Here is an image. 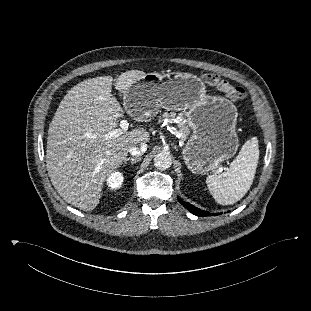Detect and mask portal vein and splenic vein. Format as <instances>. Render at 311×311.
<instances>
[{
  "mask_svg": "<svg viewBox=\"0 0 311 311\" xmlns=\"http://www.w3.org/2000/svg\"><path fill=\"white\" fill-rule=\"evenodd\" d=\"M128 126H129V123L127 120L123 119L120 121V129H115L111 132H109L108 134H106V137L107 138H112V137H117L119 135H121L123 132L127 131L128 130ZM218 172H221V170H218Z\"/></svg>",
  "mask_w": 311,
  "mask_h": 311,
  "instance_id": "portal-vein-and-splenic-vein-1",
  "label": "portal vein and splenic vein"
}]
</instances>
